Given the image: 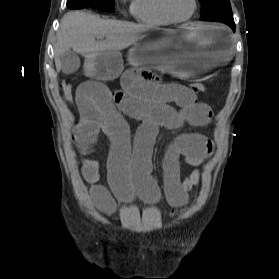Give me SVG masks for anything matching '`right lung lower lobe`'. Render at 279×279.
Masks as SVG:
<instances>
[{
	"instance_id": "98d812e1",
	"label": "right lung lower lobe",
	"mask_w": 279,
	"mask_h": 279,
	"mask_svg": "<svg viewBox=\"0 0 279 279\" xmlns=\"http://www.w3.org/2000/svg\"><path fill=\"white\" fill-rule=\"evenodd\" d=\"M87 6H84V5H75V6H72L71 9H82V8H85Z\"/></svg>"
}]
</instances>
